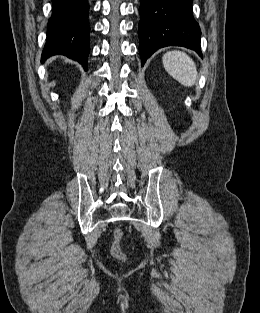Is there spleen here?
Listing matches in <instances>:
<instances>
[{
  "label": "spleen",
  "instance_id": "1",
  "mask_svg": "<svg viewBox=\"0 0 260 313\" xmlns=\"http://www.w3.org/2000/svg\"><path fill=\"white\" fill-rule=\"evenodd\" d=\"M162 62L169 75L183 86L191 87L196 83L197 68L186 53L177 50L169 51L163 55Z\"/></svg>",
  "mask_w": 260,
  "mask_h": 313
}]
</instances>
